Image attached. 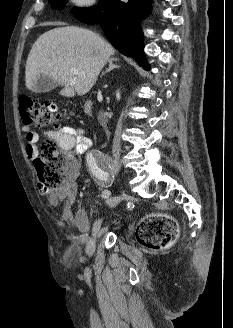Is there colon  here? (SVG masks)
<instances>
[{"label":"colon","instance_id":"obj_1","mask_svg":"<svg viewBox=\"0 0 233 328\" xmlns=\"http://www.w3.org/2000/svg\"><path fill=\"white\" fill-rule=\"evenodd\" d=\"M19 112L25 125L47 126L62 119V113L52 103L42 104L35 98L22 95ZM40 184L46 190H56L75 176L73 155L62 152L54 140L44 141L35 159ZM178 227L169 216L153 214L143 218L137 226V241L150 250H162L176 241Z\"/></svg>","mask_w":233,"mask_h":328}]
</instances>
